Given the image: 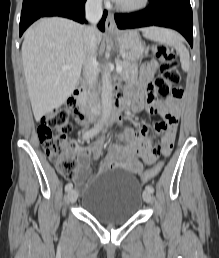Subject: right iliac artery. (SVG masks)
I'll use <instances>...</instances> for the list:
<instances>
[{"label": "right iliac artery", "instance_id": "82829eb1", "mask_svg": "<svg viewBox=\"0 0 219 258\" xmlns=\"http://www.w3.org/2000/svg\"><path fill=\"white\" fill-rule=\"evenodd\" d=\"M96 133H97V131L94 130V129L89 130V131H87V132L83 135V138H84V139L90 138V137L94 136ZM72 187H73L72 183H67V184L65 185V190L68 192V191H70V190L72 189Z\"/></svg>", "mask_w": 219, "mask_h": 258}]
</instances>
